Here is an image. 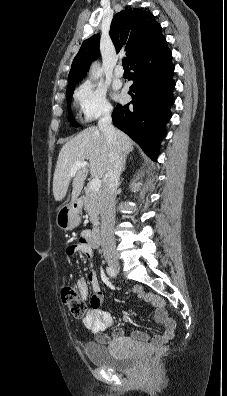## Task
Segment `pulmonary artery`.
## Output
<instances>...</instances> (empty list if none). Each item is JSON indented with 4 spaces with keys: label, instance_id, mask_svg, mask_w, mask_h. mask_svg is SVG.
<instances>
[{
    "label": "pulmonary artery",
    "instance_id": "pulmonary-artery-1",
    "mask_svg": "<svg viewBox=\"0 0 227 396\" xmlns=\"http://www.w3.org/2000/svg\"><path fill=\"white\" fill-rule=\"evenodd\" d=\"M114 74L116 77H122L124 75V70H123L122 66H120V65L116 66V68L114 70Z\"/></svg>",
    "mask_w": 227,
    "mask_h": 396
}]
</instances>
